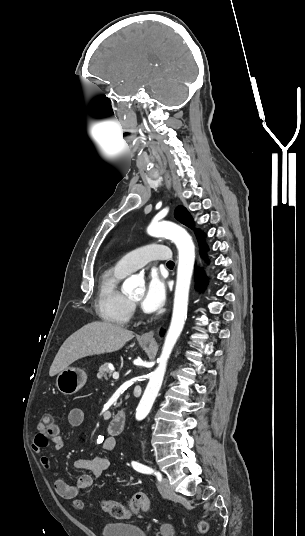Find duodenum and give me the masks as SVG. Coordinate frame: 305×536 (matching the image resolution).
<instances>
[{
  "label": "duodenum",
  "instance_id": "410a0bca",
  "mask_svg": "<svg viewBox=\"0 0 305 536\" xmlns=\"http://www.w3.org/2000/svg\"><path fill=\"white\" fill-rule=\"evenodd\" d=\"M127 423V417L126 414L122 411L117 412L113 415L112 419L110 420L107 430L111 435H117L121 434Z\"/></svg>",
  "mask_w": 305,
  "mask_h": 536
}]
</instances>
